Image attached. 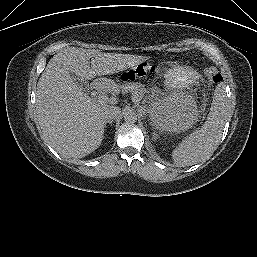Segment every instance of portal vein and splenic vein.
Segmentation results:
<instances>
[{
	"mask_svg": "<svg viewBox=\"0 0 257 257\" xmlns=\"http://www.w3.org/2000/svg\"><path fill=\"white\" fill-rule=\"evenodd\" d=\"M106 99H107V98H106L105 96H100V97L98 98V101L103 102V101H105ZM133 102H134L135 104H138L139 101L133 99Z\"/></svg>",
	"mask_w": 257,
	"mask_h": 257,
	"instance_id": "1",
	"label": "portal vein and splenic vein"
}]
</instances>
